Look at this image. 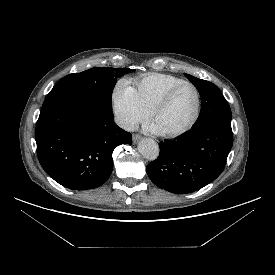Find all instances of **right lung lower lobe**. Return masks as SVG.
Returning <instances> with one entry per match:
<instances>
[{
    "mask_svg": "<svg viewBox=\"0 0 275 275\" xmlns=\"http://www.w3.org/2000/svg\"><path fill=\"white\" fill-rule=\"evenodd\" d=\"M35 139L42 168L73 190L104 184L112 173L115 147L132 144L131 134L115 125L112 110L81 97L45 101Z\"/></svg>",
    "mask_w": 275,
    "mask_h": 275,
    "instance_id": "1",
    "label": "right lung lower lobe"
}]
</instances>
